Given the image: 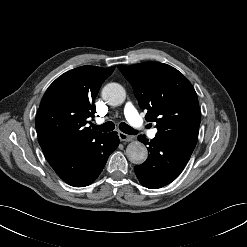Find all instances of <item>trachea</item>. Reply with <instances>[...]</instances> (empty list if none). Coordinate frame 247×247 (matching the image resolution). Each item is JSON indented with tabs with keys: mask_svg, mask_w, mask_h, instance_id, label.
I'll use <instances>...</instances> for the list:
<instances>
[{
	"mask_svg": "<svg viewBox=\"0 0 247 247\" xmlns=\"http://www.w3.org/2000/svg\"><path fill=\"white\" fill-rule=\"evenodd\" d=\"M92 127L94 129H97V130L102 131V132H110V131L114 130L115 124L113 122L109 121V122H106L102 125L93 124ZM119 129L123 133H126V134H130V135L137 134V131H135L132 127H130L129 125H127L124 122L119 124Z\"/></svg>",
	"mask_w": 247,
	"mask_h": 247,
	"instance_id": "trachea-1",
	"label": "trachea"
}]
</instances>
